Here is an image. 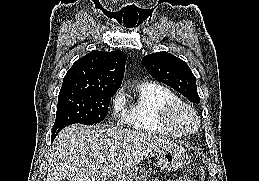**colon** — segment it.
Listing matches in <instances>:
<instances>
[{"label": "colon", "instance_id": "1", "mask_svg": "<svg viewBox=\"0 0 259 181\" xmlns=\"http://www.w3.org/2000/svg\"><path fill=\"white\" fill-rule=\"evenodd\" d=\"M177 181H204V170L199 164L190 165L184 176Z\"/></svg>", "mask_w": 259, "mask_h": 181}]
</instances>
